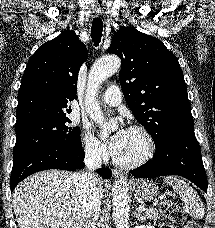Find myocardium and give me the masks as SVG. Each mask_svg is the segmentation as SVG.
<instances>
[{"instance_id":"1","label":"myocardium","mask_w":215,"mask_h":228,"mask_svg":"<svg viewBox=\"0 0 215 228\" xmlns=\"http://www.w3.org/2000/svg\"><path fill=\"white\" fill-rule=\"evenodd\" d=\"M129 130L136 131L142 134L145 141V150L144 152L136 159L131 161L119 160L113 156L114 164L123 169H132L139 167L146 162H148L154 155L155 152V142L150 131L143 125H132Z\"/></svg>"}]
</instances>
